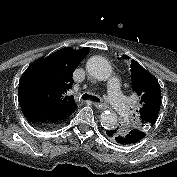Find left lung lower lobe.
<instances>
[{"instance_id":"left-lung-lower-lobe-1","label":"left lung lower lobe","mask_w":177,"mask_h":177,"mask_svg":"<svg viewBox=\"0 0 177 177\" xmlns=\"http://www.w3.org/2000/svg\"><path fill=\"white\" fill-rule=\"evenodd\" d=\"M118 128H112L106 131L110 139L121 145H134L140 142L146 135L142 130L132 128L125 131V133L117 134Z\"/></svg>"}]
</instances>
